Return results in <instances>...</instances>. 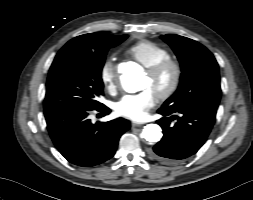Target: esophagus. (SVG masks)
Masks as SVG:
<instances>
[{"mask_svg":"<svg viewBox=\"0 0 253 200\" xmlns=\"http://www.w3.org/2000/svg\"><path fill=\"white\" fill-rule=\"evenodd\" d=\"M141 126H142L141 123H135V122L132 123V127L133 128H135V127H141Z\"/></svg>","mask_w":253,"mask_h":200,"instance_id":"34e87169","label":"esophagus"}]
</instances>
